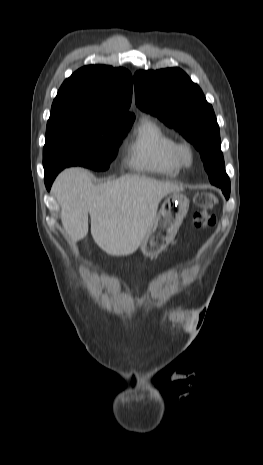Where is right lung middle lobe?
Wrapping results in <instances>:
<instances>
[{"instance_id":"dd1d6c3e","label":"right lung middle lobe","mask_w":263,"mask_h":465,"mask_svg":"<svg viewBox=\"0 0 263 465\" xmlns=\"http://www.w3.org/2000/svg\"><path fill=\"white\" fill-rule=\"evenodd\" d=\"M134 118L86 109H51L43 149L47 173L79 165L108 169Z\"/></svg>"}]
</instances>
